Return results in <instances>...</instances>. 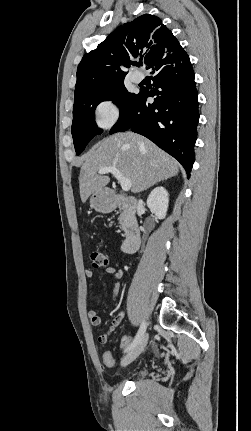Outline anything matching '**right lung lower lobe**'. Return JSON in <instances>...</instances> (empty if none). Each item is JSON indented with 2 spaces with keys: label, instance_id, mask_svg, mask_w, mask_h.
<instances>
[{
  "label": "right lung lower lobe",
  "instance_id": "right-lung-lower-lobe-1",
  "mask_svg": "<svg viewBox=\"0 0 251 431\" xmlns=\"http://www.w3.org/2000/svg\"><path fill=\"white\" fill-rule=\"evenodd\" d=\"M148 69L155 73L153 90L140 89L128 103L110 134L131 129L176 158L189 178L199 120L194 72L181 46L157 59ZM148 97H155L152 104Z\"/></svg>",
  "mask_w": 251,
  "mask_h": 431
}]
</instances>
